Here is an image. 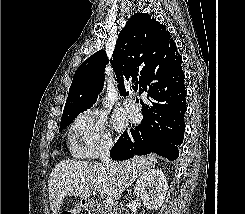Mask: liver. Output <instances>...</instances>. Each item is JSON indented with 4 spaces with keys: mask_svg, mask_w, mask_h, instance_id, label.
<instances>
[{
    "mask_svg": "<svg viewBox=\"0 0 245 214\" xmlns=\"http://www.w3.org/2000/svg\"><path fill=\"white\" fill-rule=\"evenodd\" d=\"M155 163L153 156H135L109 169L97 162L62 160L48 179L52 214H58L65 196L88 198L91 186H95L101 196L119 199L126 188Z\"/></svg>",
    "mask_w": 245,
    "mask_h": 214,
    "instance_id": "6515ba94",
    "label": "liver"
}]
</instances>
